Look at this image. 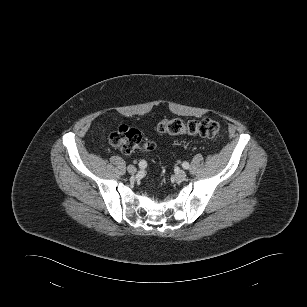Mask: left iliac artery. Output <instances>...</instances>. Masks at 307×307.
<instances>
[{
	"label": "left iliac artery",
	"instance_id": "44dca946",
	"mask_svg": "<svg viewBox=\"0 0 307 307\" xmlns=\"http://www.w3.org/2000/svg\"><path fill=\"white\" fill-rule=\"evenodd\" d=\"M182 167H183L184 169H189L190 165H189L188 162L185 161V162H183Z\"/></svg>",
	"mask_w": 307,
	"mask_h": 307
}]
</instances>
